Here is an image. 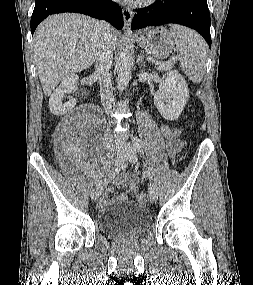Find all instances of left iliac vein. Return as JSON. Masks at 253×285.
<instances>
[{"label": "left iliac vein", "instance_id": "1", "mask_svg": "<svg viewBox=\"0 0 253 285\" xmlns=\"http://www.w3.org/2000/svg\"><path fill=\"white\" fill-rule=\"evenodd\" d=\"M123 151H124V159L134 163L137 160V154H136V148L132 145V144H126L123 147ZM148 192H149V196L150 199L152 201H156L158 198V192H157V188L155 186V184L153 182H150L148 185Z\"/></svg>", "mask_w": 253, "mask_h": 285}]
</instances>
